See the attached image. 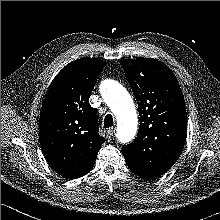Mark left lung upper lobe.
<instances>
[{
	"label": "left lung upper lobe",
	"mask_w": 220,
	"mask_h": 220,
	"mask_svg": "<svg viewBox=\"0 0 220 220\" xmlns=\"http://www.w3.org/2000/svg\"><path fill=\"white\" fill-rule=\"evenodd\" d=\"M138 103L140 127L134 142L123 146L136 171L163 174L180 156L187 135L184 97L173 72L150 58L120 61Z\"/></svg>",
	"instance_id": "1"
}]
</instances>
